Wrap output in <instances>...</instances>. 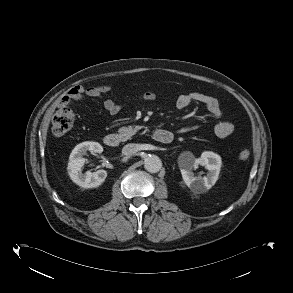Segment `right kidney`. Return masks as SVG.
Returning <instances> with one entry per match:
<instances>
[{
    "mask_svg": "<svg viewBox=\"0 0 293 293\" xmlns=\"http://www.w3.org/2000/svg\"><path fill=\"white\" fill-rule=\"evenodd\" d=\"M87 151L92 153H102L103 147L97 142H82L71 152L68 163V174L71 180L83 188H96L100 186L107 177V171L100 169L96 172L82 173L85 159L82 157Z\"/></svg>",
    "mask_w": 293,
    "mask_h": 293,
    "instance_id": "ca27d5eb",
    "label": "right kidney"
}]
</instances>
